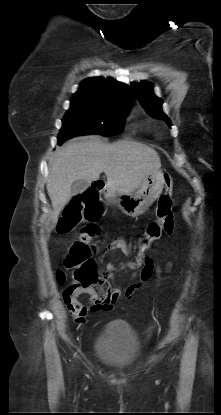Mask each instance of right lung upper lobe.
I'll return each instance as SVG.
<instances>
[{"label":"right lung upper lobe","mask_w":221,"mask_h":415,"mask_svg":"<svg viewBox=\"0 0 221 415\" xmlns=\"http://www.w3.org/2000/svg\"><path fill=\"white\" fill-rule=\"evenodd\" d=\"M130 88L113 78L91 77L81 82L71 102H89L110 106H130Z\"/></svg>","instance_id":"right-lung-upper-lobe-1"}]
</instances>
